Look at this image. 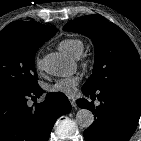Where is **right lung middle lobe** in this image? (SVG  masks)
Wrapping results in <instances>:
<instances>
[{"instance_id":"dd1d6c3e","label":"right lung middle lobe","mask_w":141,"mask_h":141,"mask_svg":"<svg viewBox=\"0 0 141 141\" xmlns=\"http://www.w3.org/2000/svg\"><path fill=\"white\" fill-rule=\"evenodd\" d=\"M44 42L28 30L4 28L0 32V89L31 91L39 87L34 56Z\"/></svg>"}]
</instances>
